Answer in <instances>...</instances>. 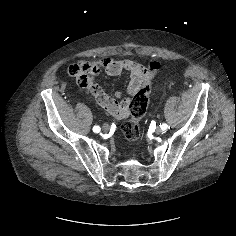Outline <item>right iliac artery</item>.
I'll use <instances>...</instances> for the list:
<instances>
[{"label": "right iliac artery", "instance_id": "1", "mask_svg": "<svg viewBox=\"0 0 236 236\" xmlns=\"http://www.w3.org/2000/svg\"><path fill=\"white\" fill-rule=\"evenodd\" d=\"M100 127L99 126H94L93 127V131L95 132V133H99L100 132Z\"/></svg>", "mask_w": 236, "mask_h": 236}]
</instances>
